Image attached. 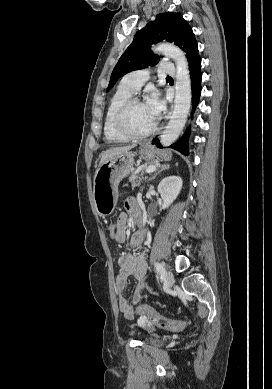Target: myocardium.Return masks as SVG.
Wrapping results in <instances>:
<instances>
[{"mask_svg":"<svg viewBox=\"0 0 272 389\" xmlns=\"http://www.w3.org/2000/svg\"><path fill=\"white\" fill-rule=\"evenodd\" d=\"M143 103V101L136 96H132L127 99L119 108L116 116H115V127L117 131L127 139L130 140H142L145 139L152 134H154L157 130V123L154 122L153 126L146 132L143 133H135L133 132L128 125V115L131 108L135 104Z\"/></svg>","mask_w":272,"mask_h":389,"instance_id":"obj_1","label":"myocardium"}]
</instances>
